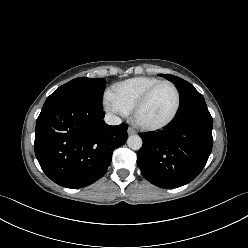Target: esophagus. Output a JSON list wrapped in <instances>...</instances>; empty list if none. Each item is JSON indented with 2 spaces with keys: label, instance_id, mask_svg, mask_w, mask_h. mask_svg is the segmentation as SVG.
<instances>
[{
  "label": "esophagus",
  "instance_id": "1",
  "mask_svg": "<svg viewBox=\"0 0 248 248\" xmlns=\"http://www.w3.org/2000/svg\"><path fill=\"white\" fill-rule=\"evenodd\" d=\"M128 135H134L136 133L135 129L133 127H129L127 130Z\"/></svg>",
  "mask_w": 248,
  "mask_h": 248
}]
</instances>
